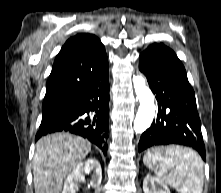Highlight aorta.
Segmentation results:
<instances>
[{"instance_id": "1", "label": "aorta", "mask_w": 221, "mask_h": 193, "mask_svg": "<svg viewBox=\"0 0 221 193\" xmlns=\"http://www.w3.org/2000/svg\"><path fill=\"white\" fill-rule=\"evenodd\" d=\"M133 86L140 102L133 128L136 134H141L151 125L155 116L156 106L154 104V95L147 87L146 80L142 74L133 77Z\"/></svg>"}]
</instances>
